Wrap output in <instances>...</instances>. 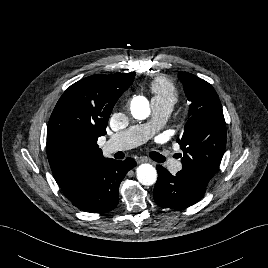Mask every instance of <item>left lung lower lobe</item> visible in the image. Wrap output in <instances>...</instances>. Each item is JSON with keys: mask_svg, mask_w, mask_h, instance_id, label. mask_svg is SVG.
<instances>
[{"mask_svg": "<svg viewBox=\"0 0 268 268\" xmlns=\"http://www.w3.org/2000/svg\"><path fill=\"white\" fill-rule=\"evenodd\" d=\"M158 179L154 188L155 202L165 208L184 209L197 203L205 193V185L179 171L172 175L158 165Z\"/></svg>", "mask_w": 268, "mask_h": 268, "instance_id": "obj_1", "label": "left lung lower lobe"}]
</instances>
